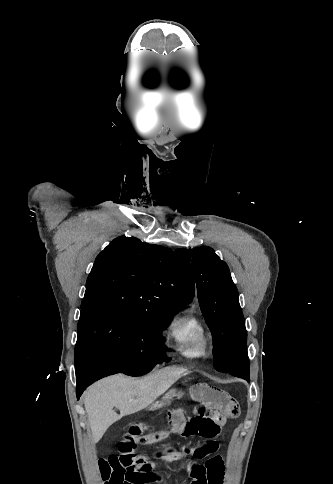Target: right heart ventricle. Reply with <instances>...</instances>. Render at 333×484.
Masks as SVG:
<instances>
[{
	"label": "right heart ventricle",
	"mask_w": 333,
	"mask_h": 484,
	"mask_svg": "<svg viewBox=\"0 0 333 484\" xmlns=\"http://www.w3.org/2000/svg\"><path fill=\"white\" fill-rule=\"evenodd\" d=\"M169 335L176 350L187 358H200L207 354L208 339L205 326L192 312L175 318L169 328Z\"/></svg>",
	"instance_id": "1"
}]
</instances>
